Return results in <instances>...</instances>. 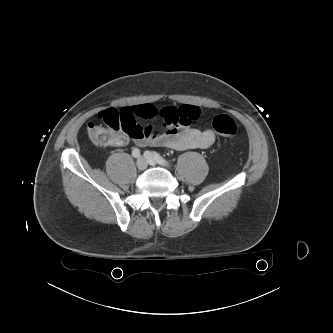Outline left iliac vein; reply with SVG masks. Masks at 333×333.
<instances>
[{"instance_id":"obj_1","label":"left iliac vein","mask_w":333,"mask_h":333,"mask_svg":"<svg viewBox=\"0 0 333 333\" xmlns=\"http://www.w3.org/2000/svg\"><path fill=\"white\" fill-rule=\"evenodd\" d=\"M146 160L149 165L155 166L157 164V161L152 156L146 157Z\"/></svg>"}]
</instances>
